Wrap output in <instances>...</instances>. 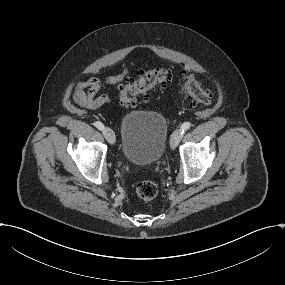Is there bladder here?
I'll list each match as a JSON object with an SVG mask.
<instances>
[{
	"label": "bladder",
	"mask_w": 285,
	"mask_h": 285,
	"mask_svg": "<svg viewBox=\"0 0 285 285\" xmlns=\"http://www.w3.org/2000/svg\"><path fill=\"white\" fill-rule=\"evenodd\" d=\"M168 125L162 113L137 110L125 114L120 124V148L126 162L154 165L164 155Z\"/></svg>",
	"instance_id": "1"
}]
</instances>
